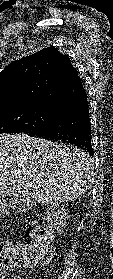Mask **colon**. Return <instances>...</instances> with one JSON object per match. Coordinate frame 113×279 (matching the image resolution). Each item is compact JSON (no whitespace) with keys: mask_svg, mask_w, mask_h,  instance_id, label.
I'll return each instance as SVG.
<instances>
[{"mask_svg":"<svg viewBox=\"0 0 113 279\" xmlns=\"http://www.w3.org/2000/svg\"><path fill=\"white\" fill-rule=\"evenodd\" d=\"M50 252L51 244L45 227L39 222H33L30 226L28 243L22 247V251L11 250L0 242V271L3 264L13 266L31 259H42Z\"/></svg>","mask_w":113,"mask_h":279,"instance_id":"1","label":"colon"}]
</instances>
